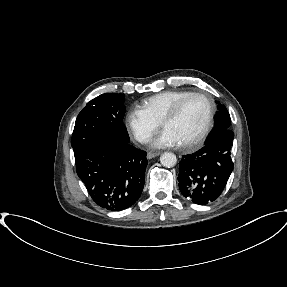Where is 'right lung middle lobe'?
I'll return each mask as SVG.
<instances>
[{
    "mask_svg": "<svg viewBox=\"0 0 287 287\" xmlns=\"http://www.w3.org/2000/svg\"><path fill=\"white\" fill-rule=\"evenodd\" d=\"M125 110L123 94H102L88 102L75 122L71 139L74 154L97 141L129 143L123 124Z\"/></svg>",
    "mask_w": 287,
    "mask_h": 287,
    "instance_id": "right-lung-middle-lobe-1",
    "label": "right lung middle lobe"
}]
</instances>
